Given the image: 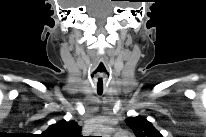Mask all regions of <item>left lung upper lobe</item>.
Wrapping results in <instances>:
<instances>
[{
    "instance_id": "5c2ea615",
    "label": "left lung upper lobe",
    "mask_w": 206,
    "mask_h": 137,
    "mask_svg": "<svg viewBox=\"0 0 206 137\" xmlns=\"http://www.w3.org/2000/svg\"><path fill=\"white\" fill-rule=\"evenodd\" d=\"M125 122L134 131L136 137H162L152 123L142 117H129Z\"/></svg>"
}]
</instances>
